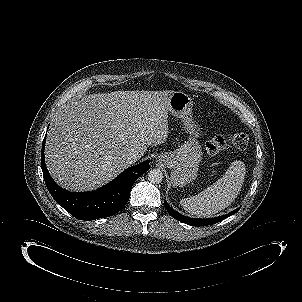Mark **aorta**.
I'll use <instances>...</instances> for the list:
<instances>
[{
  "label": "aorta",
  "mask_w": 302,
  "mask_h": 302,
  "mask_svg": "<svg viewBox=\"0 0 302 302\" xmlns=\"http://www.w3.org/2000/svg\"><path fill=\"white\" fill-rule=\"evenodd\" d=\"M163 178V172L158 168L151 169L148 172V180L153 184L161 183L163 181Z\"/></svg>",
  "instance_id": "obj_1"
}]
</instances>
